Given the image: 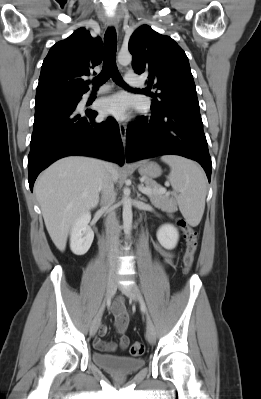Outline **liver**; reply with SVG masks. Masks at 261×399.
I'll use <instances>...</instances> for the list:
<instances>
[{"mask_svg":"<svg viewBox=\"0 0 261 399\" xmlns=\"http://www.w3.org/2000/svg\"><path fill=\"white\" fill-rule=\"evenodd\" d=\"M106 172L117 182L118 169L112 163L91 157H66L48 167L37 179L34 192L47 231L60 251L66 248L75 220L98 205Z\"/></svg>","mask_w":261,"mask_h":399,"instance_id":"6515ba94","label":"liver"}]
</instances>
